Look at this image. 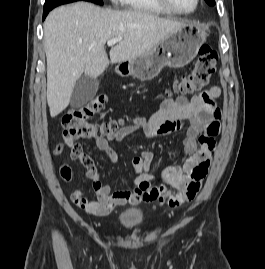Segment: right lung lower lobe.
Instances as JSON below:
<instances>
[{
	"mask_svg": "<svg viewBox=\"0 0 265 269\" xmlns=\"http://www.w3.org/2000/svg\"><path fill=\"white\" fill-rule=\"evenodd\" d=\"M76 1H81V0H46L44 4V10H43V20L45 19L49 11H51L53 8L62 4L76 2Z\"/></svg>",
	"mask_w": 265,
	"mask_h": 269,
	"instance_id": "1",
	"label": "right lung lower lobe"
}]
</instances>
